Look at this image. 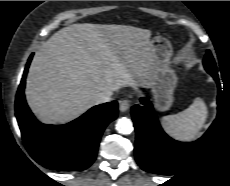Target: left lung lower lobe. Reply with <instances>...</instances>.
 <instances>
[{
  "mask_svg": "<svg viewBox=\"0 0 230 186\" xmlns=\"http://www.w3.org/2000/svg\"><path fill=\"white\" fill-rule=\"evenodd\" d=\"M213 78L218 84L217 102L220 113L223 99L218 74H215ZM140 101L141 105L132 107V119L136 130V160L147 172L173 175L203 150L213 133L217 120L197 141L182 143L165 134L151 102L145 98H141Z\"/></svg>",
  "mask_w": 230,
  "mask_h": 186,
  "instance_id": "0a47b994",
  "label": "left lung lower lobe"
}]
</instances>
